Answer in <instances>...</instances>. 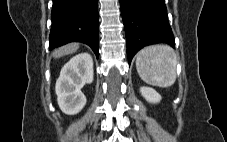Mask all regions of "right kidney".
I'll return each instance as SVG.
<instances>
[{
  "label": "right kidney",
  "mask_w": 227,
  "mask_h": 142,
  "mask_svg": "<svg viewBox=\"0 0 227 142\" xmlns=\"http://www.w3.org/2000/svg\"><path fill=\"white\" fill-rule=\"evenodd\" d=\"M92 81L93 60L90 54H78L63 66L55 90L58 105L65 114L74 115L83 109L86 97L81 88Z\"/></svg>",
  "instance_id": "obj_1"
}]
</instances>
